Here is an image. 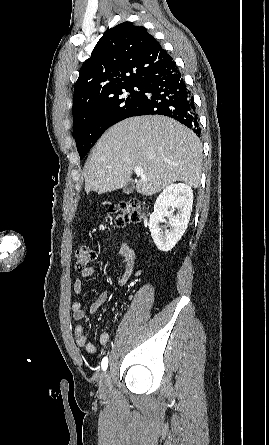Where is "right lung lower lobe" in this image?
<instances>
[{
	"label": "right lung lower lobe",
	"mask_w": 269,
	"mask_h": 445,
	"mask_svg": "<svg viewBox=\"0 0 269 445\" xmlns=\"http://www.w3.org/2000/svg\"><path fill=\"white\" fill-rule=\"evenodd\" d=\"M140 84V99L126 118L150 114L165 115L200 136L201 129L192 94L171 57L151 70Z\"/></svg>",
	"instance_id": "right-lung-lower-lobe-1"
}]
</instances>
